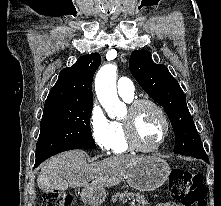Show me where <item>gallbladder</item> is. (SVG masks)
Instances as JSON below:
<instances>
[{
  "label": "gallbladder",
  "mask_w": 221,
  "mask_h": 206,
  "mask_svg": "<svg viewBox=\"0 0 221 206\" xmlns=\"http://www.w3.org/2000/svg\"><path fill=\"white\" fill-rule=\"evenodd\" d=\"M65 184V181L58 179L55 181H39V190H48V194H57V190H63Z\"/></svg>",
  "instance_id": "1"
}]
</instances>
